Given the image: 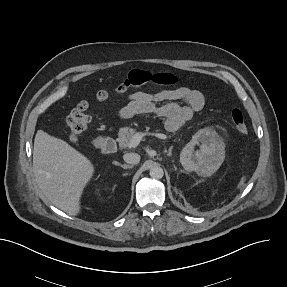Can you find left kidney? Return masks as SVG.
<instances>
[{"label": "left kidney", "instance_id": "left-kidney-1", "mask_svg": "<svg viewBox=\"0 0 287 287\" xmlns=\"http://www.w3.org/2000/svg\"><path fill=\"white\" fill-rule=\"evenodd\" d=\"M201 142L200 150L194 151L195 145ZM224 142L212 129L200 130L196 141L188 143L181 151L180 162L186 171H195L203 177L215 173L225 158Z\"/></svg>", "mask_w": 287, "mask_h": 287}]
</instances>
